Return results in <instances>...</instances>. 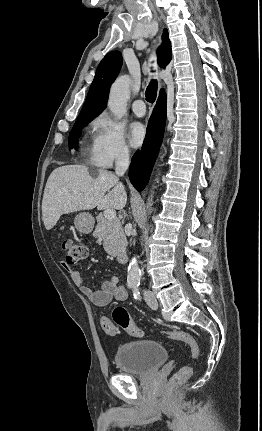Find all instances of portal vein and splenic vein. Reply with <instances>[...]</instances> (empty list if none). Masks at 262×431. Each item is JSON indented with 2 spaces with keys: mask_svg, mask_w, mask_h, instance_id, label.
Masks as SVG:
<instances>
[{
  "mask_svg": "<svg viewBox=\"0 0 262 431\" xmlns=\"http://www.w3.org/2000/svg\"><path fill=\"white\" fill-rule=\"evenodd\" d=\"M104 217L108 220H112L116 217V212L113 209H108L104 211Z\"/></svg>",
  "mask_w": 262,
  "mask_h": 431,
  "instance_id": "portal-vein-and-splenic-vein-1",
  "label": "portal vein and splenic vein"
}]
</instances>
